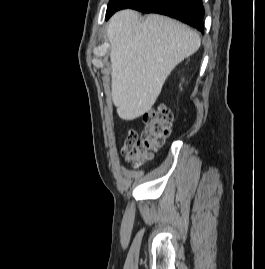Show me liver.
Here are the masks:
<instances>
[{"label":"liver","mask_w":265,"mask_h":269,"mask_svg":"<svg viewBox=\"0 0 265 269\" xmlns=\"http://www.w3.org/2000/svg\"><path fill=\"white\" fill-rule=\"evenodd\" d=\"M107 37L111 46L112 99L123 120L149 111L171 71L200 47L199 35L185 24L130 9L115 13Z\"/></svg>","instance_id":"liver-1"}]
</instances>
